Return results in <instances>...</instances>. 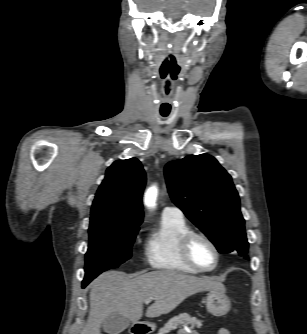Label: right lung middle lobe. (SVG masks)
Returning <instances> with one entry per match:
<instances>
[{
    "instance_id": "1",
    "label": "right lung middle lobe",
    "mask_w": 307,
    "mask_h": 334,
    "mask_svg": "<svg viewBox=\"0 0 307 334\" xmlns=\"http://www.w3.org/2000/svg\"><path fill=\"white\" fill-rule=\"evenodd\" d=\"M140 224L106 223L89 227L85 278L87 285L101 272L117 268L131 257L132 244Z\"/></svg>"
}]
</instances>
